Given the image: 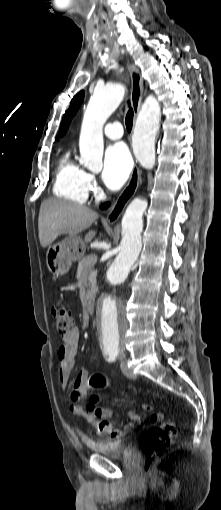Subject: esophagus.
Masks as SVG:
<instances>
[{
	"label": "esophagus",
	"mask_w": 221,
	"mask_h": 510,
	"mask_svg": "<svg viewBox=\"0 0 221 510\" xmlns=\"http://www.w3.org/2000/svg\"><path fill=\"white\" fill-rule=\"evenodd\" d=\"M130 79H131V102L132 108L134 111V125L137 119L141 103L143 97V80L140 76L139 70L133 65L127 64ZM141 180V171L137 165H135L132 169L129 181L126 187L123 189L117 200L115 201L113 207L108 212L106 221L110 224L116 223L121 214L123 213L126 205L135 195L139 183Z\"/></svg>",
	"instance_id": "esophagus-1"
}]
</instances>
